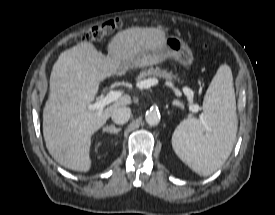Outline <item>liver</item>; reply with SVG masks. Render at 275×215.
<instances>
[{"mask_svg":"<svg viewBox=\"0 0 275 215\" xmlns=\"http://www.w3.org/2000/svg\"><path fill=\"white\" fill-rule=\"evenodd\" d=\"M164 37L158 30L130 28L111 39L106 56L87 42L61 53L51 72L49 99L43 110L44 140L56 162L78 172L90 170L92 135L116 108L132 103L129 95H123L100 114L88 110L100 83L116 75L124 60L153 50Z\"/></svg>","mask_w":275,"mask_h":215,"instance_id":"1","label":"liver"}]
</instances>
